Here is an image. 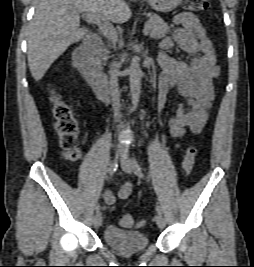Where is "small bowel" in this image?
<instances>
[{
    "mask_svg": "<svg viewBox=\"0 0 254 267\" xmlns=\"http://www.w3.org/2000/svg\"><path fill=\"white\" fill-rule=\"evenodd\" d=\"M176 28L170 37L165 38L160 45L158 62L162 68L159 79L158 108L161 110L172 88L185 102H177L169 124L173 138L182 137L186 130L197 134L203 129L208 110L214 99L213 79L219 74L216 55L212 42L199 18L189 12L177 14L173 18ZM177 44L183 51L192 55L185 62L170 57L165 52ZM132 192V183L123 184L118 190V198L125 200ZM104 202L114 208L115 195L105 190Z\"/></svg>",
    "mask_w": 254,
    "mask_h": 267,
    "instance_id": "obj_1",
    "label": "small bowel"
}]
</instances>
